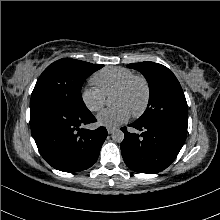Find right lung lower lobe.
Wrapping results in <instances>:
<instances>
[{"instance_id":"obj_1","label":"right lung lower lobe","mask_w":220,"mask_h":220,"mask_svg":"<svg viewBox=\"0 0 220 220\" xmlns=\"http://www.w3.org/2000/svg\"><path fill=\"white\" fill-rule=\"evenodd\" d=\"M95 121L88 109L75 110L48 100L30 104V126L38 150L47 163L63 172L82 171L96 162L107 130L80 128Z\"/></svg>"}]
</instances>
